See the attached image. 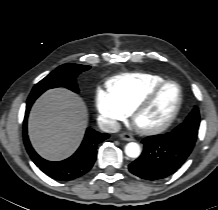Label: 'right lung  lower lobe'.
Segmentation results:
<instances>
[{
	"mask_svg": "<svg viewBox=\"0 0 218 210\" xmlns=\"http://www.w3.org/2000/svg\"><path fill=\"white\" fill-rule=\"evenodd\" d=\"M40 95L29 96L27 100L23 123V136L28 154L42 172L55 180L69 181L84 175L92 168L96 160V149L98 144L107 139L109 135L88 128L81 146L68 159L59 162H51L41 158L32 148L27 135V118L29 110Z\"/></svg>",
	"mask_w": 218,
	"mask_h": 210,
	"instance_id": "98d812e1",
	"label": "right lung lower lobe"
}]
</instances>
